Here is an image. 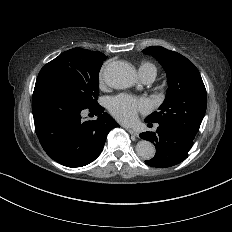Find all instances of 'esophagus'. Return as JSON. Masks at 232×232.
Segmentation results:
<instances>
[{"mask_svg": "<svg viewBox=\"0 0 232 232\" xmlns=\"http://www.w3.org/2000/svg\"><path fill=\"white\" fill-rule=\"evenodd\" d=\"M126 130H127L130 134H132V135H134V136H138V133H137L135 130H133V129H131V128H126Z\"/></svg>", "mask_w": 232, "mask_h": 232, "instance_id": "obj_1", "label": "esophagus"}]
</instances>
